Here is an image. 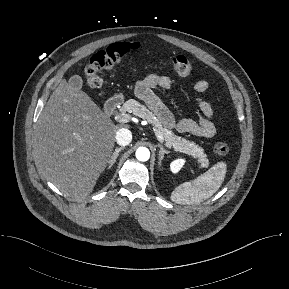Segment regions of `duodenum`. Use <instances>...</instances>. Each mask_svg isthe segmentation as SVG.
<instances>
[{"label": "duodenum", "mask_w": 289, "mask_h": 289, "mask_svg": "<svg viewBox=\"0 0 289 289\" xmlns=\"http://www.w3.org/2000/svg\"><path fill=\"white\" fill-rule=\"evenodd\" d=\"M122 103V99L119 96H113L109 98L105 103V113L109 116L115 113Z\"/></svg>", "instance_id": "obj_1"}]
</instances>
